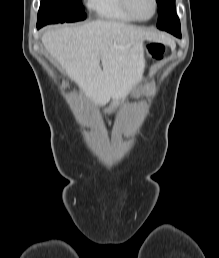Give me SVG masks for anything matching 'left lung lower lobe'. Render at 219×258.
I'll return each instance as SVG.
<instances>
[{
	"mask_svg": "<svg viewBox=\"0 0 219 258\" xmlns=\"http://www.w3.org/2000/svg\"><path fill=\"white\" fill-rule=\"evenodd\" d=\"M165 31L173 34L174 36H176L178 38H181V30H180V28H178V29H166Z\"/></svg>",
	"mask_w": 219,
	"mask_h": 258,
	"instance_id": "1",
	"label": "left lung lower lobe"
}]
</instances>
